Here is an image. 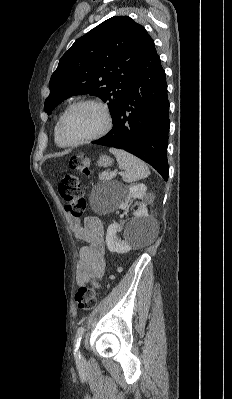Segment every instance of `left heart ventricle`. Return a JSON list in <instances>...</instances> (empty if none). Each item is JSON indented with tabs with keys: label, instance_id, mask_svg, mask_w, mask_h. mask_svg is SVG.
Returning <instances> with one entry per match:
<instances>
[{
	"label": "left heart ventricle",
	"instance_id": "obj_1",
	"mask_svg": "<svg viewBox=\"0 0 232 399\" xmlns=\"http://www.w3.org/2000/svg\"><path fill=\"white\" fill-rule=\"evenodd\" d=\"M104 114L94 105H78L65 119V132L75 140H80L98 133L104 126Z\"/></svg>",
	"mask_w": 232,
	"mask_h": 399
}]
</instances>
